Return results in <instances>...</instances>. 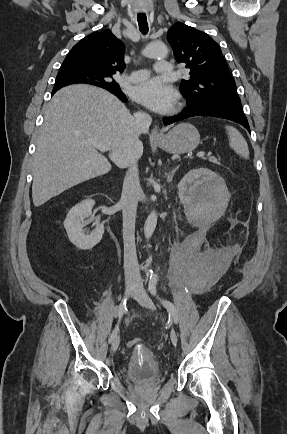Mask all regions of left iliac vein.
Here are the masks:
<instances>
[{
  "label": "left iliac vein",
  "instance_id": "4c4485c4",
  "mask_svg": "<svg viewBox=\"0 0 287 434\" xmlns=\"http://www.w3.org/2000/svg\"><path fill=\"white\" fill-rule=\"evenodd\" d=\"M133 298L143 307L149 309L155 308L151 298L148 296L147 292L142 286L138 287L135 290V292L133 293ZM170 340L173 345L177 344L178 338H177V333L175 332L174 329H171L170 331Z\"/></svg>",
  "mask_w": 287,
  "mask_h": 434
}]
</instances>
